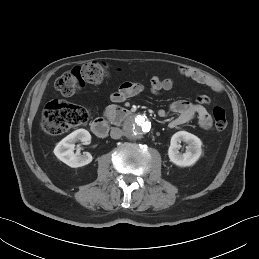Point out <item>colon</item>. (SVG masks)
Segmentation results:
<instances>
[{
  "label": "colon",
  "instance_id": "obj_1",
  "mask_svg": "<svg viewBox=\"0 0 259 259\" xmlns=\"http://www.w3.org/2000/svg\"><path fill=\"white\" fill-rule=\"evenodd\" d=\"M107 74L108 67L105 63L92 61L62 74L56 80L55 86L61 95L70 96L86 84L102 82ZM90 117L91 110L88 108L52 100L43 112V128L49 135H61L73 127L86 123ZM212 117L215 128L218 131L225 130L227 127L225 110L220 106L214 107Z\"/></svg>",
  "mask_w": 259,
  "mask_h": 259
}]
</instances>
